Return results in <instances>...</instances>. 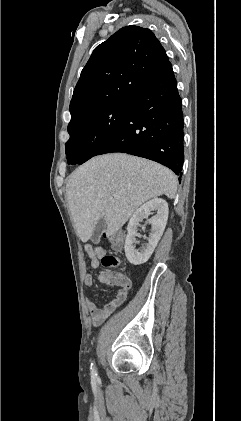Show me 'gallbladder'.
<instances>
[{"instance_id": "bac80fb5", "label": "gallbladder", "mask_w": 241, "mask_h": 421, "mask_svg": "<svg viewBox=\"0 0 241 421\" xmlns=\"http://www.w3.org/2000/svg\"><path fill=\"white\" fill-rule=\"evenodd\" d=\"M105 228H106V220L104 218H100L95 226V229L93 231L92 238H91L94 244L99 243L100 237L102 233L104 232Z\"/></svg>"}]
</instances>
